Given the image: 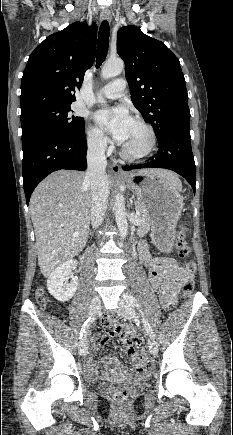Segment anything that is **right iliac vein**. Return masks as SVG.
<instances>
[{
	"mask_svg": "<svg viewBox=\"0 0 233 435\" xmlns=\"http://www.w3.org/2000/svg\"><path fill=\"white\" fill-rule=\"evenodd\" d=\"M100 305H101V299L99 298V296H94L90 302L89 316L91 317L95 316L100 308ZM87 349H88V342L86 336H84L79 343L80 355L85 356L87 354Z\"/></svg>",
	"mask_w": 233,
	"mask_h": 435,
	"instance_id": "right-iliac-vein-1",
	"label": "right iliac vein"
}]
</instances>
